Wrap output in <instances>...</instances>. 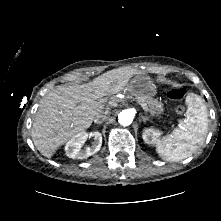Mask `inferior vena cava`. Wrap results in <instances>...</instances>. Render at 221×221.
Returning <instances> with one entry per match:
<instances>
[{"mask_svg": "<svg viewBox=\"0 0 221 221\" xmlns=\"http://www.w3.org/2000/svg\"><path fill=\"white\" fill-rule=\"evenodd\" d=\"M108 115H109L108 110L97 113V115L94 118V123L96 124L103 123L108 118Z\"/></svg>", "mask_w": 221, "mask_h": 221, "instance_id": "inferior-vena-cava-1", "label": "inferior vena cava"}]
</instances>
